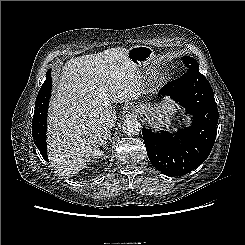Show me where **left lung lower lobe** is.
I'll return each instance as SVG.
<instances>
[{
	"label": "left lung lower lobe",
	"instance_id": "left-lung-lower-lobe-1",
	"mask_svg": "<svg viewBox=\"0 0 245 245\" xmlns=\"http://www.w3.org/2000/svg\"><path fill=\"white\" fill-rule=\"evenodd\" d=\"M160 98L170 96L192 116L189 128L176 133L142 129L152 165L167 176H182L194 170L210 154L217 135L218 109L211 85L198 71L186 72L167 83Z\"/></svg>",
	"mask_w": 245,
	"mask_h": 245
}]
</instances>
